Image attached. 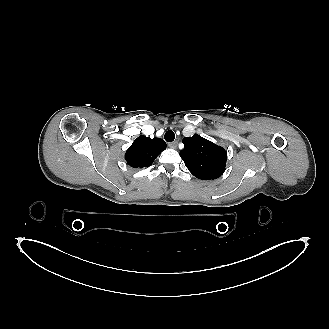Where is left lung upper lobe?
Returning <instances> with one entry per match:
<instances>
[{"instance_id":"left-lung-upper-lobe-1","label":"left lung upper lobe","mask_w":329,"mask_h":329,"mask_svg":"<svg viewBox=\"0 0 329 329\" xmlns=\"http://www.w3.org/2000/svg\"><path fill=\"white\" fill-rule=\"evenodd\" d=\"M180 156L189 171L199 179L213 180L225 171L227 153L224 148L195 134L183 139Z\"/></svg>"}]
</instances>
